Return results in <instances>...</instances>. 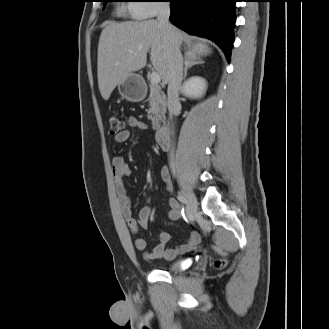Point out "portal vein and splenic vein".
<instances>
[{"instance_id": "18ae733b", "label": "portal vein and splenic vein", "mask_w": 329, "mask_h": 329, "mask_svg": "<svg viewBox=\"0 0 329 329\" xmlns=\"http://www.w3.org/2000/svg\"><path fill=\"white\" fill-rule=\"evenodd\" d=\"M150 78H151V83L154 84V85H158L161 81L160 74L156 71H153L151 73Z\"/></svg>"}]
</instances>
